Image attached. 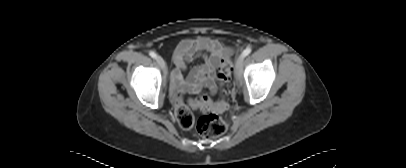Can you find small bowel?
<instances>
[{
    "label": "small bowel",
    "instance_id": "1",
    "mask_svg": "<svg viewBox=\"0 0 406 168\" xmlns=\"http://www.w3.org/2000/svg\"><path fill=\"white\" fill-rule=\"evenodd\" d=\"M231 49L218 41L201 37L182 41L173 51L175 70L172 73L171 91L175 101V95L185 89L183 73L187 69V63L197 56H203L205 62L194 67L187 77V83L194 93H200L206 87L211 95L217 91L216 71L222 59L230 56ZM210 101L208 97H201Z\"/></svg>",
    "mask_w": 406,
    "mask_h": 168
}]
</instances>
